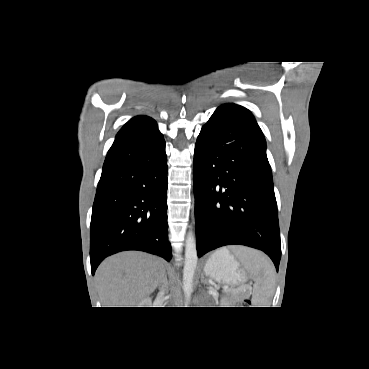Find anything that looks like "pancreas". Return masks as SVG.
Instances as JSON below:
<instances>
[{"mask_svg":"<svg viewBox=\"0 0 369 369\" xmlns=\"http://www.w3.org/2000/svg\"><path fill=\"white\" fill-rule=\"evenodd\" d=\"M226 293H227L228 295H230V297L228 298V301H229V302H236V300H238V299H240V298H241V296H240L241 292H240V291H235V292H233V291H231V290H228V291H226ZM247 295H248V294H247Z\"/></svg>","mask_w":369,"mask_h":369,"instance_id":"obj_1","label":"pancreas"}]
</instances>
